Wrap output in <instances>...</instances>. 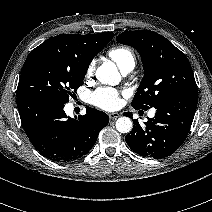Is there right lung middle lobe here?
Wrapping results in <instances>:
<instances>
[{"label":"right lung middle lobe","mask_w":212,"mask_h":212,"mask_svg":"<svg viewBox=\"0 0 212 212\" xmlns=\"http://www.w3.org/2000/svg\"><path fill=\"white\" fill-rule=\"evenodd\" d=\"M110 41L104 39L91 45H81L78 57L72 61L35 56L27 57L17 89V98L43 97L59 101L63 104L69 101L77 88L83 84L89 63L102 48Z\"/></svg>","instance_id":"1"}]
</instances>
